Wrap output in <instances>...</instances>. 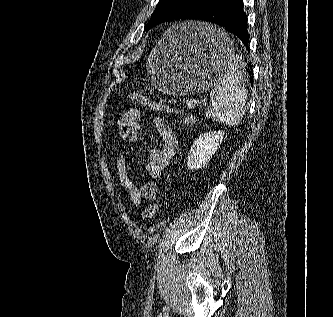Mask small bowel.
Returning <instances> with one entry per match:
<instances>
[{
	"instance_id": "small-bowel-1",
	"label": "small bowel",
	"mask_w": 333,
	"mask_h": 317,
	"mask_svg": "<svg viewBox=\"0 0 333 317\" xmlns=\"http://www.w3.org/2000/svg\"><path fill=\"white\" fill-rule=\"evenodd\" d=\"M142 114L137 108L124 111L117 120L121 136L130 143H136L142 128ZM159 137V145L150 151L145 165L147 178L138 187L130 172L129 163L124 154L116 158L118 180L128 194L134 206H140L143 200H153L159 193L158 180L177 150V138L172 128L160 117L153 119Z\"/></svg>"
}]
</instances>
